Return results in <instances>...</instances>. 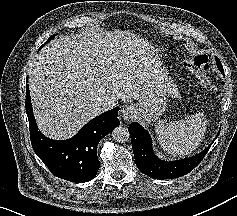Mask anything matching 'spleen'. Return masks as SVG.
Masks as SVG:
<instances>
[{"mask_svg": "<svg viewBox=\"0 0 237 216\" xmlns=\"http://www.w3.org/2000/svg\"><path fill=\"white\" fill-rule=\"evenodd\" d=\"M155 130L161 147L172 156L192 153L203 138L204 117L194 114L181 120L163 119L156 122Z\"/></svg>", "mask_w": 237, "mask_h": 216, "instance_id": "obj_1", "label": "spleen"}]
</instances>
